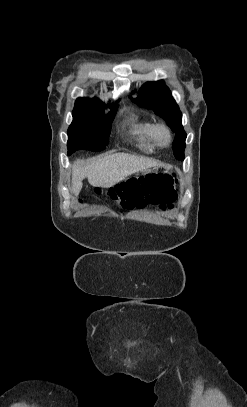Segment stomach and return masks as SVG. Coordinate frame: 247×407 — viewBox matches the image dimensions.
Listing matches in <instances>:
<instances>
[{
	"label": "stomach",
	"mask_w": 247,
	"mask_h": 407,
	"mask_svg": "<svg viewBox=\"0 0 247 407\" xmlns=\"http://www.w3.org/2000/svg\"><path fill=\"white\" fill-rule=\"evenodd\" d=\"M152 168L150 167V166H143L142 167V169H141V171H136V176H141V174H142V176H147V175H150L151 173H152ZM142 172V173H141Z\"/></svg>",
	"instance_id": "1"
}]
</instances>
